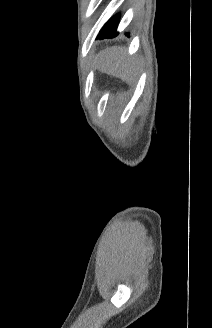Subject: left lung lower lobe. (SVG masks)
Returning <instances> with one entry per match:
<instances>
[{
    "label": "left lung lower lobe",
    "mask_w": 212,
    "mask_h": 328,
    "mask_svg": "<svg viewBox=\"0 0 212 328\" xmlns=\"http://www.w3.org/2000/svg\"><path fill=\"white\" fill-rule=\"evenodd\" d=\"M119 19H120L119 15H115L111 19H109L100 30L98 37L100 39H104V38H111L118 35L116 29L119 24ZM126 35H128V33H126Z\"/></svg>",
    "instance_id": "left-lung-lower-lobe-1"
}]
</instances>
